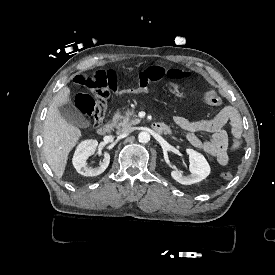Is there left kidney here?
Masks as SVG:
<instances>
[{"instance_id": "1", "label": "left kidney", "mask_w": 275, "mask_h": 275, "mask_svg": "<svg viewBox=\"0 0 275 275\" xmlns=\"http://www.w3.org/2000/svg\"><path fill=\"white\" fill-rule=\"evenodd\" d=\"M187 153L189 155L190 171L192 174L185 177L180 171L171 172L172 178L183 185L198 183L207 178L211 171L209 163L201 153L191 149L187 150Z\"/></svg>"}]
</instances>
